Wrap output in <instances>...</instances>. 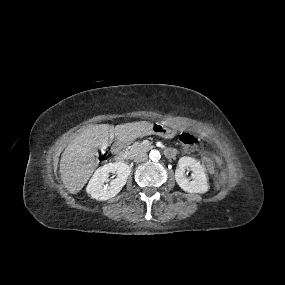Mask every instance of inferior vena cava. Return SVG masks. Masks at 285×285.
Returning <instances> with one entry per match:
<instances>
[{
	"mask_svg": "<svg viewBox=\"0 0 285 285\" xmlns=\"http://www.w3.org/2000/svg\"><path fill=\"white\" fill-rule=\"evenodd\" d=\"M147 158H148L147 153L141 152L135 156L134 161L135 162H144L147 160Z\"/></svg>",
	"mask_w": 285,
	"mask_h": 285,
	"instance_id": "602c4592",
	"label": "inferior vena cava"
}]
</instances>
